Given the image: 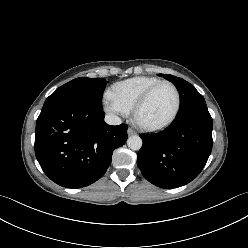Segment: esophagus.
I'll use <instances>...</instances> for the list:
<instances>
[{"label":"esophagus","instance_id":"1","mask_svg":"<svg viewBox=\"0 0 248 248\" xmlns=\"http://www.w3.org/2000/svg\"><path fill=\"white\" fill-rule=\"evenodd\" d=\"M127 134H128V136H131V135L136 134V132H135V130H134V129H132V128H128V130H127Z\"/></svg>","mask_w":248,"mask_h":248}]
</instances>
